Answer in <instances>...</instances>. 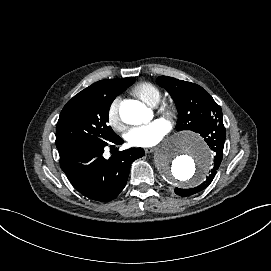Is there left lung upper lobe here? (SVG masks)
Masks as SVG:
<instances>
[{
    "instance_id": "obj_1",
    "label": "left lung upper lobe",
    "mask_w": 271,
    "mask_h": 271,
    "mask_svg": "<svg viewBox=\"0 0 271 271\" xmlns=\"http://www.w3.org/2000/svg\"><path fill=\"white\" fill-rule=\"evenodd\" d=\"M157 83L170 93L178 107L177 131L198 133L223 117L221 107L201 86L168 76L158 77Z\"/></svg>"
}]
</instances>
